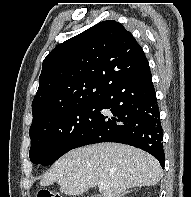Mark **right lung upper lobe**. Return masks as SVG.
Returning <instances> with one entry per match:
<instances>
[{
    "label": "right lung upper lobe",
    "mask_w": 191,
    "mask_h": 197,
    "mask_svg": "<svg viewBox=\"0 0 191 197\" xmlns=\"http://www.w3.org/2000/svg\"><path fill=\"white\" fill-rule=\"evenodd\" d=\"M148 65L141 46L120 23L94 25L44 59L30 128L73 106L98 101L108 87Z\"/></svg>",
    "instance_id": "1"
}]
</instances>
